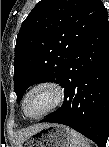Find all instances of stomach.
Masks as SVG:
<instances>
[{
    "label": "stomach",
    "instance_id": "1",
    "mask_svg": "<svg viewBox=\"0 0 109 147\" xmlns=\"http://www.w3.org/2000/svg\"><path fill=\"white\" fill-rule=\"evenodd\" d=\"M70 145L71 129L59 124H48L21 141V147H70Z\"/></svg>",
    "mask_w": 109,
    "mask_h": 147
}]
</instances>
